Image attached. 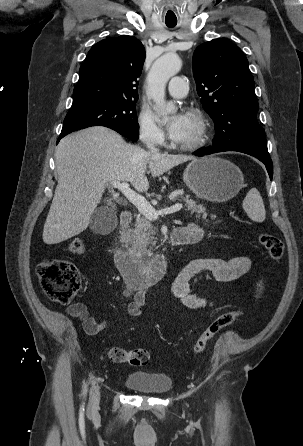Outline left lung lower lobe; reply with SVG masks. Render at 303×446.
<instances>
[{"label":"left lung lower lobe","mask_w":303,"mask_h":446,"mask_svg":"<svg viewBox=\"0 0 303 446\" xmlns=\"http://www.w3.org/2000/svg\"><path fill=\"white\" fill-rule=\"evenodd\" d=\"M224 151H238V152L246 153L248 155L256 157L257 159H259L261 162H263L266 165V169L268 171L270 179H272L273 166H272V161H271L269 154H262V153H258L255 151L237 148V147H228V148H224V149H217V148L199 149L196 152H194V154L197 156H204V155L213 154V153H217V152H224Z\"/></svg>","instance_id":"obj_1"}]
</instances>
